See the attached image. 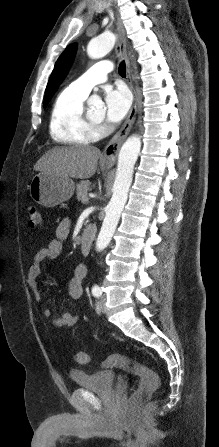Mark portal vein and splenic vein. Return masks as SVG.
<instances>
[{"label":"portal vein and splenic vein","mask_w":219,"mask_h":447,"mask_svg":"<svg viewBox=\"0 0 219 447\" xmlns=\"http://www.w3.org/2000/svg\"><path fill=\"white\" fill-rule=\"evenodd\" d=\"M88 201H89V198H88L87 196L83 197V199H82V202H83V203H86V202H88Z\"/></svg>","instance_id":"1"}]
</instances>
